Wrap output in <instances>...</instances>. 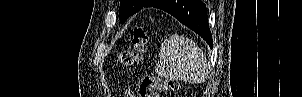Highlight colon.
Returning a JSON list of instances; mask_svg holds the SVG:
<instances>
[{"instance_id": "colon-1", "label": "colon", "mask_w": 302, "mask_h": 97, "mask_svg": "<svg viewBox=\"0 0 302 97\" xmlns=\"http://www.w3.org/2000/svg\"><path fill=\"white\" fill-rule=\"evenodd\" d=\"M148 47L147 34L144 28L138 26L133 29L132 49L123 50L117 56V63L130 66L143 59ZM178 86L175 80H162L154 76L144 77L139 86L140 97H158L157 92L174 90Z\"/></svg>"}]
</instances>
